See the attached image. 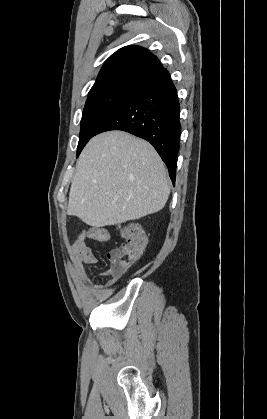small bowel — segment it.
Here are the masks:
<instances>
[{
    "mask_svg": "<svg viewBox=\"0 0 267 419\" xmlns=\"http://www.w3.org/2000/svg\"><path fill=\"white\" fill-rule=\"evenodd\" d=\"M89 238L97 242L108 240L109 233L105 228L92 227L81 232L76 239L70 244V252L77 276L83 280L91 290L98 292L107 289L115 284L118 275L110 270L102 273L103 276L109 277L105 284H94L87 273V267L97 262L92 249L85 243V239Z\"/></svg>",
    "mask_w": 267,
    "mask_h": 419,
    "instance_id": "c3829d8e",
    "label": "small bowel"
}]
</instances>
